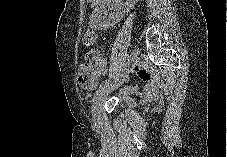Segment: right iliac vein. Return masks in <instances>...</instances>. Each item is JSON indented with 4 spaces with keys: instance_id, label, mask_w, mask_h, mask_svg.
I'll return each mask as SVG.
<instances>
[{
    "instance_id": "1",
    "label": "right iliac vein",
    "mask_w": 227,
    "mask_h": 157,
    "mask_svg": "<svg viewBox=\"0 0 227 157\" xmlns=\"http://www.w3.org/2000/svg\"><path fill=\"white\" fill-rule=\"evenodd\" d=\"M138 54H139L138 50H135L131 54L129 63L126 66L125 70H122L120 72V74H118L117 77L110 84H108L103 90H101V92L96 97V99L93 103V108H92L93 121L95 123H97L99 121L103 101L105 100V98L108 96V94L111 91L119 88L124 83V81L126 80L128 74H129L130 66L133 63H135L138 59Z\"/></svg>"
}]
</instances>
